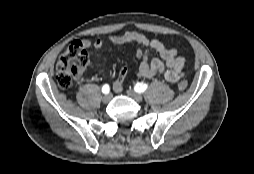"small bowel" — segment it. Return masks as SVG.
Here are the masks:
<instances>
[{
    "instance_id": "small-bowel-1",
    "label": "small bowel",
    "mask_w": 254,
    "mask_h": 174,
    "mask_svg": "<svg viewBox=\"0 0 254 174\" xmlns=\"http://www.w3.org/2000/svg\"><path fill=\"white\" fill-rule=\"evenodd\" d=\"M82 43L85 48H90L92 45L89 40H83ZM126 44H136L139 46L135 52V56L141 60L138 69V75L140 77L153 78L162 76L168 82L175 83L184 76L186 60L184 57L178 55L177 49L170 48L159 40L149 39L142 33L136 31H128L121 35L98 39L92 46L95 52L99 53L106 46H121ZM149 50L157 52L159 58H149ZM126 74L127 69L123 68L119 78L113 83L115 92H121L123 90V81Z\"/></svg>"
}]
</instances>
